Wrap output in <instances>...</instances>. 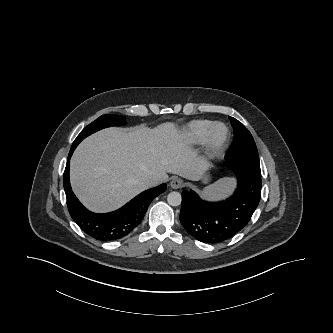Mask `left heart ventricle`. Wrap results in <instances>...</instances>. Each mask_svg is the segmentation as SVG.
I'll return each mask as SVG.
<instances>
[{
    "label": "left heart ventricle",
    "instance_id": "b2bd125f",
    "mask_svg": "<svg viewBox=\"0 0 333 333\" xmlns=\"http://www.w3.org/2000/svg\"><path fill=\"white\" fill-rule=\"evenodd\" d=\"M216 133H217V135H221L222 134V129H218Z\"/></svg>",
    "mask_w": 333,
    "mask_h": 333
}]
</instances>
